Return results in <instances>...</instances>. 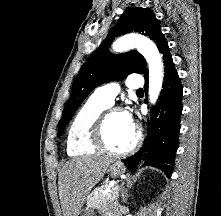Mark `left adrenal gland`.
<instances>
[{"label": "left adrenal gland", "instance_id": "left-adrenal-gland-1", "mask_svg": "<svg viewBox=\"0 0 221 216\" xmlns=\"http://www.w3.org/2000/svg\"><path fill=\"white\" fill-rule=\"evenodd\" d=\"M121 196H122V199H123V202L126 203L128 197L130 196L127 191H123L121 192Z\"/></svg>", "mask_w": 221, "mask_h": 216}]
</instances>
